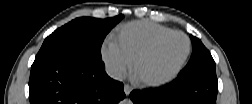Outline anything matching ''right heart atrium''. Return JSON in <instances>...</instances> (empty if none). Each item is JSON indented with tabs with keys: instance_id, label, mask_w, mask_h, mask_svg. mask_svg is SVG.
<instances>
[{
	"instance_id": "obj_1",
	"label": "right heart atrium",
	"mask_w": 252,
	"mask_h": 104,
	"mask_svg": "<svg viewBox=\"0 0 252 104\" xmlns=\"http://www.w3.org/2000/svg\"><path fill=\"white\" fill-rule=\"evenodd\" d=\"M106 59L112 69L117 74L124 73L129 68L128 59H126L116 48L114 44H110L106 48Z\"/></svg>"
}]
</instances>
